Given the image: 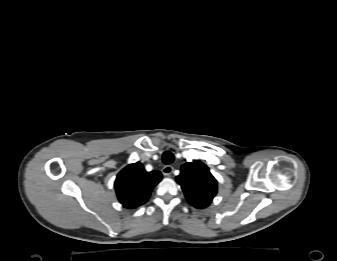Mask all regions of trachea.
<instances>
[{"mask_svg": "<svg viewBox=\"0 0 337 261\" xmlns=\"http://www.w3.org/2000/svg\"><path fill=\"white\" fill-rule=\"evenodd\" d=\"M162 161L164 164H171L174 161V155L170 151H166L163 153Z\"/></svg>", "mask_w": 337, "mask_h": 261, "instance_id": "obj_1", "label": "trachea"}]
</instances>
